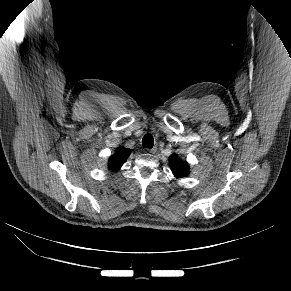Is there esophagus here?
Here are the masks:
<instances>
[{
    "instance_id": "esophagus-1",
    "label": "esophagus",
    "mask_w": 291,
    "mask_h": 291,
    "mask_svg": "<svg viewBox=\"0 0 291 291\" xmlns=\"http://www.w3.org/2000/svg\"><path fill=\"white\" fill-rule=\"evenodd\" d=\"M156 152V148H152L149 150V153H155Z\"/></svg>"
}]
</instances>
